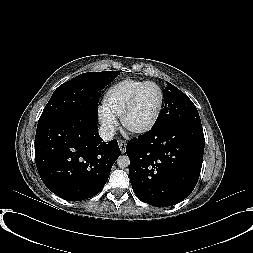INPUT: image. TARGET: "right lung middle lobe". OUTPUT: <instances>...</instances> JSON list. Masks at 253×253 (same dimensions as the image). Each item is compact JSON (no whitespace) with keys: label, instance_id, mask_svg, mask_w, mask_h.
I'll list each match as a JSON object with an SVG mask.
<instances>
[{"label":"right lung middle lobe","instance_id":"obj_1","mask_svg":"<svg viewBox=\"0 0 253 253\" xmlns=\"http://www.w3.org/2000/svg\"><path fill=\"white\" fill-rule=\"evenodd\" d=\"M118 74V71L88 72L60 85L45 106L38 124L79 111L97 116L98 92Z\"/></svg>","mask_w":253,"mask_h":253}]
</instances>
